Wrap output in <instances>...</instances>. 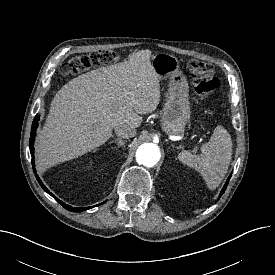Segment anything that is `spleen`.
I'll return each instance as SVG.
<instances>
[{"instance_id": "spleen-1", "label": "spleen", "mask_w": 275, "mask_h": 275, "mask_svg": "<svg viewBox=\"0 0 275 275\" xmlns=\"http://www.w3.org/2000/svg\"><path fill=\"white\" fill-rule=\"evenodd\" d=\"M202 153H179V160L198 171L209 189H216L225 177L232 158V140L225 128L217 126L209 142L201 147Z\"/></svg>"}]
</instances>
